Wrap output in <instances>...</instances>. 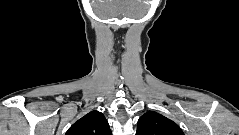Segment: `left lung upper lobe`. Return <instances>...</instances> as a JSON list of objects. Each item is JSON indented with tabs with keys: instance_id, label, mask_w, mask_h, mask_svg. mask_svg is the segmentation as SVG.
I'll list each match as a JSON object with an SVG mask.
<instances>
[{
	"instance_id": "5c2ea615",
	"label": "left lung upper lobe",
	"mask_w": 239,
	"mask_h": 135,
	"mask_svg": "<svg viewBox=\"0 0 239 135\" xmlns=\"http://www.w3.org/2000/svg\"><path fill=\"white\" fill-rule=\"evenodd\" d=\"M136 135H184L180 127L167 117L149 111L138 120Z\"/></svg>"
}]
</instances>
